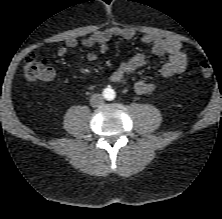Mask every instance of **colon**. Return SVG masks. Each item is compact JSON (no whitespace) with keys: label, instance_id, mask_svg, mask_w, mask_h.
I'll list each match as a JSON object with an SVG mask.
<instances>
[{"label":"colon","instance_id":"obj_1","mask_svg":"<svg viewBox=\"0 0 222 219\" xmlns=\"http://www.w3.org/2000/svg\"><path fill=\"white\" fill-rule=\"evenodd\" d=\"M199 72L203 77H210L212 75L211 65L206 61L201 62ZM22 73L24 78L29 82L44 80L50 76L49 67L46 62L35 55H30L25 59Z\"/></svg>","mask_w":222,"mask_h":219}]
</instances>
